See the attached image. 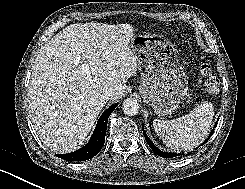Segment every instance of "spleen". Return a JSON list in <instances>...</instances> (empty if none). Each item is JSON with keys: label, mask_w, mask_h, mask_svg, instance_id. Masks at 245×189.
Instances as JSON below:
<instances>
[{"label": "spleen", "mask_w": 245, "mask_h": 189, "mask_svg": "<svg viewBox=\"0 0 245 189\" xmlns=\"http://www.w3.org/2000/svg\"><path fill=\"white\" fill-rule=\"evenodd\" d=\"M211 102H202L189 114L173 120L154 119L157 135L172 150H191L207 137L213 116Z\"/></svg>", "instance_id": "1"}]
</instances>
